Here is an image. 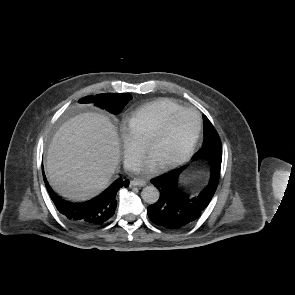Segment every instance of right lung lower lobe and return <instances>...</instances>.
<instances>
[{"label":"right lung lower lobe","mask_w":295,"mask_h":295,"mask_svg":"<svg viewBox=\"0 0 295 295\" xmlns=\"http://www.w3.org/2000/svg\"><path fill=\"white\" fill-rule=\"evenodd\" d=\"M44 181L49 195L58 211L72 225L80 229H90L105 223L113 216L117 201V191L129 186V180L118 178L103 193L84 203H71L61 199L50 188L45 175Z\"/></svg>","instance_id":"98d812e1"}]
</instances>
